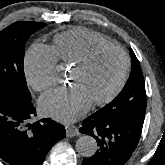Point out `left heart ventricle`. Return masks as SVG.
<instances>
[{
    "mask_svg": "<svg viewBox=\"0 0 165 165\" xmlns=\"http://www.w3.org/2000/svg\"><path fill=\"white\" fill-rule=\"evenodd\" d=\"M123 68L122 55L115 50L98 53L90 65L83 69H73L71 85L78 87L92 102L107 95L117 83Z\"/></svg>",
    "mask_w": 165,
    "mask_h": 165,
    "instance_id": "1",
    "label": "left heart ventricle"
}]
</instances>
